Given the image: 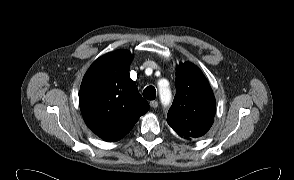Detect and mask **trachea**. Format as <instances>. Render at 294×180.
Instances as JSON below:
<instances>
[{"label":"trachea","mask_w":294,"mask_h":180,"mask_svg":"<svg viewBox=\"0 0 294 180\" xmlns=\"http://www.w3.org/2000/svg\"><path fill=\"white\" fill-rule=\"evenodd\" d=\"M143 96L148 100H154L156 97V90L153 86H148L143 91Z\"/></svg>","instance_id":"obj_1"}]
</instances>
